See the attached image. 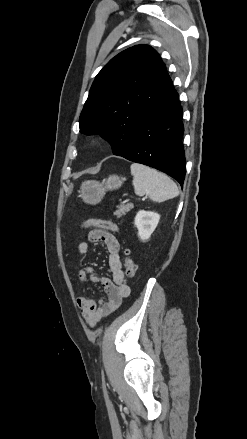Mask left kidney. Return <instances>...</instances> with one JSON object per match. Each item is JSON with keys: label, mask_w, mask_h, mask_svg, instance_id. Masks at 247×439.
Masks as SVG:
<instances>
[{"label": "left kidney", "mask_w": 247, "mask_h": 439, "mask_svg": "<svg viewBox=\"0 0 247 439\" xmlns=\"http://www.w3.org/2000/svg\"><path fill=\"white\" fill-rule=\"evenodd\" d=\"M160 220V215L151 212L140 210L136 216L134 224L138 229V236L141 240H148L154 232Z\"/></svg>", "instance_id": "left-kidney-1"}]
</instances>
